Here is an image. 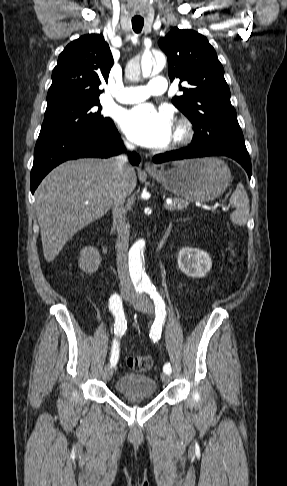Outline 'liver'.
Returning <instances> with one entry per match:
<instances>
[{"label":"liver","mask_w":287,"mask_h":486,"mask_svg":"<svg viewBox=\"0 0 287 486\" xmlns=\"http://www.w3.org/2000/svg\"><path fill=\"white\" fill-rule=\"evenodd\" d=\"M111 160L67 161L53 169L37 188L36 216L47 262H52L79 230L109 211L114 183ZM136 183V172L128 166V176L122 187L124 198L133 192Z\"/></svg>","instance_id":"6515ba94"}]
</instances>
